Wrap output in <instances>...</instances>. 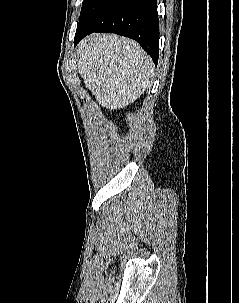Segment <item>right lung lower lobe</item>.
<instances>
[{
    "label": "right lung lower lobe",
    "instance_id": "obj_1",
    "mask_svg": "<svg viewBox=\"0 0 239 303\" xmlns=\"http://www.w3.org/2000/svg\"><path fill=\"white\" fill-rule=\"evenodd\" d=\"M93 32L116 33L136 40L157 65L159 21L156 0H107L75 34V45Z\"/></svg>",
    "mask_w": 239,
    "mask_h": 303
}]
</instances>
